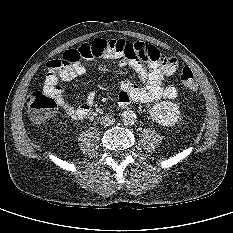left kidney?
I'll return each mask as SVG.
<instances>
[{"instance_id":"1","label":"left kidney","mask_w":233,"mask_h":233,"mask_svg":"<svg viewBox=\"0 0 233 233\" xmlns=\"http://www.w3.org/2000/svg\"><path fill=\"white\" fill-rule=\"evenodd\" d=\"M153 121L163 126H174L180 117L179 106L175 103L163 101L155 104L150 110Z\"/></svg>"}]
</instances>
